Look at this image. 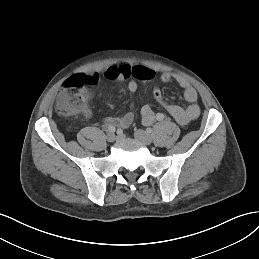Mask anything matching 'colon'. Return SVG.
Returning <instances> with one entry per match:
<instances>
[{
	"label": "colon",
	"instance_id": "obj_1",
	"mask_svg": "<svg viewBox=\"0 0 259 259\" xmlns=\"http://www.w3.org/2000/svg\"><path fill=\"white\" fill-rule=\"evenodd\" d=\"M89 82L86 77L75 75L66 80L57 102V113L64 117H75L87 107L88 92L86 87ZM150 95L155 98L160 90L151 88Z\"/></svg>",
	"mask_w": 259,
	"mask_h": 259
}]
</instances>
